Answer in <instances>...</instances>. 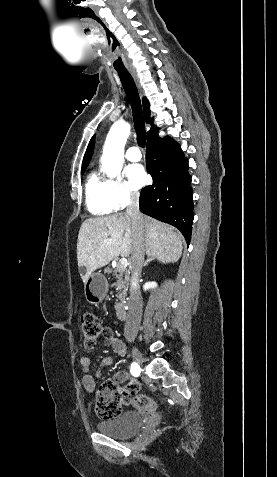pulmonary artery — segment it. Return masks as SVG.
<instances>
[{"mask_svg":"<svg viewBox=\"0 0 277 477\" xmlns=\"http://www.w3.org/2000/svg\"><path fill=\"white\" fill-rule=\"evenodd\" d=\"M126 158L130 161H139L142 157L138 147H130L126 151Z\"/></svg>","mask_w":277,"mask_h":477,"instance_id":"e3ab8cb5","label":"pulmonary artery"}]
</instances>
